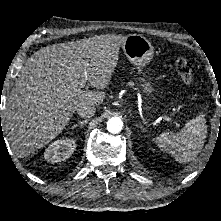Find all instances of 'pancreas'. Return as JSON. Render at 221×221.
Instances as JSON below:
<instances>
[{
	"instance_id": "pancreas-1",
	"label": "pancreas",
	"mask_w": 221,
	"mask_h": 221,
	"mask_svg": "<svg viewBox=\"0 0 221 221\" xmlns=\"http://www.w3.org/2000/svg\"><path fill=\"white\" fill-rule=\"evenodd\" d=\"M128 85H129V86H133V83H132V82H129Z\"/></svg>"
}]
</instances>
